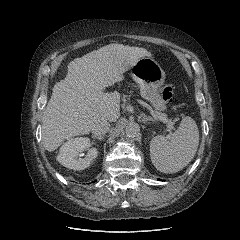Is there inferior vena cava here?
<instances>
[{
	"instance_id": "1",
	"label": "inferior vena cava",
	"mask_w": 240,
	"mask_h": 240,
	"mask_svg": "<svg viewBox=\"0 0 240 240\" xmlns=\"http://www.w3.org/2000/svg\"><path fill=\"white\" fill-rule=\"evenodd\" d=\"M110 129V124L108 121L103 120L95 124V126L92 128V133L96 136H101L106 134Z\"/></svg>"
}]
</instances>
